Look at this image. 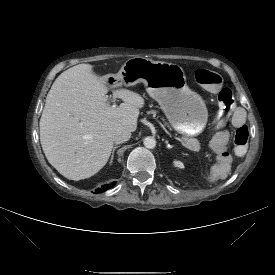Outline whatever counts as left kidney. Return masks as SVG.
I'll return each mask as SVG.
<instances>
[{"label": "left kidney", "instance_id": "5707ae66", "mask_svg": "<svg viewBox=\"0 0 275 275\" xmlns=\"http://www.w3.org/2000/svg\"><path fill=\"white\" fill-rule=\"evenodd\" d=\"M173 163H174L175 167H179V168H183L184 167V165H183V163L181 161H174Z\"/></svg>", "mask_w": 275, "mask_h": 275}]
</instances>
